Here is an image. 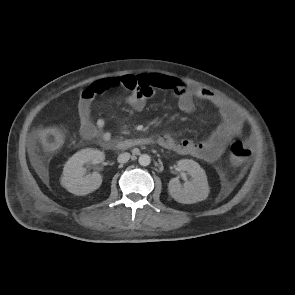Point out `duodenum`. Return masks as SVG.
Masks as SVG:
<instances>
[{
	"mask_svg": "<svg viewBox=\"0 0 295 295\" xmlns=\"http://www.w3.org/2000/svg\"><path fill=\"white\" fill-rule=\"evenodd\" d=\"M150 143L149 139H127V140H110L103 143L107 150H126Z\"/></svg>",
	"mask_w": 295,
	"mask_h": 295,
	"instance_id": "1",
	"label": "duodenum"
}]
</instances>
